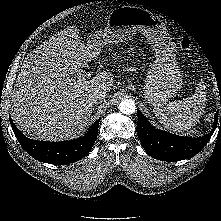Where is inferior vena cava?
<instances>
[{
    "label": "inferior vena cava",
    "instance_id": "1",
    "mask_svg": "<svg viewBox=\"0 0 221 221\" xmlns=\"http://www.w3.org/2000/svg\"><path fill=\"white\" fill-rule=\"evenodd\" d=\"M106 97V92L103 90H95L91 93L90 98L93 103H98L99 101L104 100Z\"/></svg>",
    "mask_w": 221,
    "mask_h": 221
}]
</instances>
